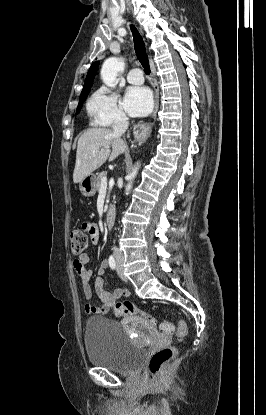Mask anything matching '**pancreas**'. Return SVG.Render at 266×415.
Listing matches in <instances>:
<instances>
[{
	"mask_svg": "<svg viewBox=\"0 0 266 415\" xmlns=\"http://www.w3.org/2000/svg\"><path fill=\"white\" fill-rule=\"evenodd\" d=\"M106 175H107V172H105V171H103V172H101V173L98 174V176L96 178V186H95V188H96L97 191H99L100 188H101V179L103 177H106Z\"/></svg>",
	"mask_w": 266,
	"mask_h": 415,
	"instance_id": "pancreas-1",
	"label": "pancreas"
}]
</instances>
